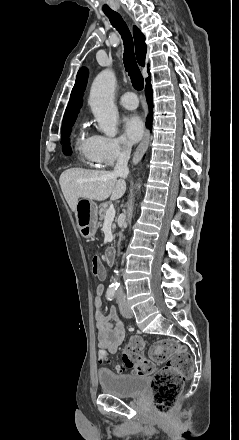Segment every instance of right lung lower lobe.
I'll list each match as a JSON object with an SVG mask.
<instances>
[{"mask_svg":"<svg viewBox=\"0 0 239 440\" xmlns=\"http://www.w3.org/2000/svg\"><path fill=\"white\" fill-rule=\"evenodd\" d=\"M150 80H151V77L149 76L146 79L145 92H146L147 102H148L149 109H150L149 115L147 117V126L151 129L152 128V118H153V97H152V87L150 84ZM64 152L68 154V153H70V150H67Z\"/></svg>","mask_w":239,"mask_h":440,"instance_id":"98d812e1","label":"right lung lower lobe"}]
</instances>
